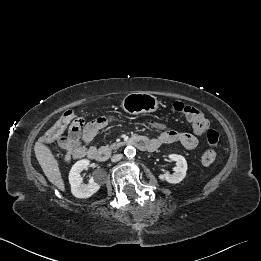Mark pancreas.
<instances>
[{"label": "pancreas", "mask_w": 261, "mask_h": 261, "mask_svg": "<svg viewBox=\"0 0 261 261\" xmlns=\"http://www.w3.org/2000/svg\"><path fill=\"white\" fill-rule=\"evenodd\" d=\"M120 143H113L110 147L112 148V149H115V148H118V147H120Z\"/></svg>", "instance_id": "obj_1"}]
</instances>
